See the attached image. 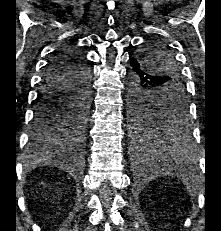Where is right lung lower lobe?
Here are the masks:
<instances>
[{
  "instance_id": "1",
  "label": "right lung lower lobe",
  "mask_w": 221,
  "mask_h": 231,
  "mask_svg": "<svg viewBox=\"0 0 221 231\" xmlns=\"http://www.w3.org/2000/svg\"><path fill=\"white\" fill-rule=\"evenodd\" d=\"M78 95L89 100L90 70L88 63L75 51H60L48 64L37 98L30 135L33 150H53L66 141L62 130L59 137L54 140L40 138L39 134L49 128L52 119L49 110L53 107H60L66 99Z\"/></svg>"
}]
</instances>
